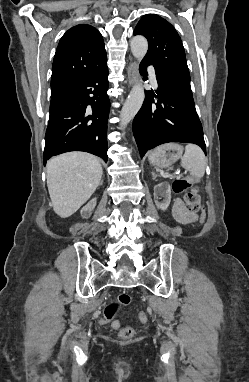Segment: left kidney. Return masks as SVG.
Masks as SVG:
<instances>
[{"instance_id":"1","label":"left kidney","mask_w":249,"mask_h":382,"mask_svg":"<svg viewBox=\"0 0 249 382\" xmlns=\"http://www.w3.org/2000/svg\"><path fill=\"white\" fill-rule=\"evenodd\" d=\"M152 203H156L157 207L165 210L171 200V189L167 182L159 183L154 187V196H152Z\"/></svg>"}]
</instances>
